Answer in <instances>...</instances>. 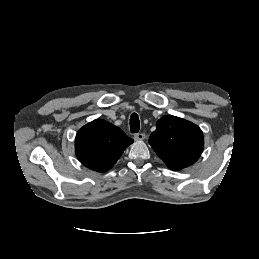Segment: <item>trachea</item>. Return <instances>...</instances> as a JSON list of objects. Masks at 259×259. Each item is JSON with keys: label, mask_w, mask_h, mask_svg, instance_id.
<instances>
[{"label": "trachea", "mask_w": 259, "mask_h": 259, "mask_svg": "<svg viewBox=\"0 0 259 259\" xmlns=\"http://www.w3.org/2000/svg\"><path fill=\"white\" fill-rule=\"evenodd\" d=\"M140 129L139 117L136 113H132L130 117V130L132 133H138Z\"/></svg>", "instance_id": "trachea-1"}]
</instances>
